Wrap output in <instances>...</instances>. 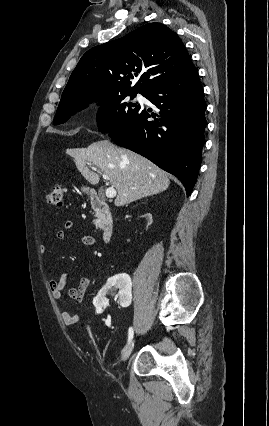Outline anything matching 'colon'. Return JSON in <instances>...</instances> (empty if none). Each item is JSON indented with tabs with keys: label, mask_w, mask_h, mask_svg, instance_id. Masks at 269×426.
Returning a JSON list of instances; mask_svg holds the SVG:
<instances>
[{
	"label": "colon",
	"mask_w": 269,
	"mask_h": 426,
	"mask_svg": "<svg viewBox=\"0 0 269 426\" xmlns=\"http://www.w3.org/2000/svg\"><path fill=\"white\" fill-rule=\"evenodd\" d=\"M47 202L57 208L64 206V187L61 184H55L51 187L47 196Z\"/></svg>",
	"instance_id": "5ec220e1"
}]
</instances>
